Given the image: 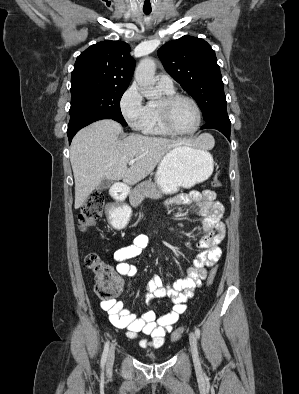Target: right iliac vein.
<instances>
[{
    "label": "right iliac vein",
    "instance_id": "1",
    "mask_svg": "<svg viewBox=\"0 0 299 394\" xmlns=\"http://www.w3.org/2000/svg\"><path fill=\"white\" fill-rule=\"evenodd\" d=\"M114 358H115V349L114 346H112L108 353L107 368H112L114 363Z\"/></svg>",
    "mask_w": 299,
    "mask_h": 394
}]
</instances>
